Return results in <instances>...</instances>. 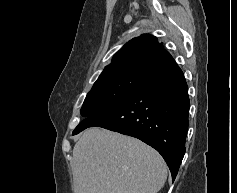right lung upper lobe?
<instances>
[{"label": "right lung upper lobe", "instance_id": "obj_1", "mask_svg": "<svg viewBox=\"0 0 237 193\" xmlns=\"http://www.w3.org/2000/svg\"><path fill=\"white\" fill-rule=\"evenodd\" d=\"M167 53L157 38L144 34L126 43L113 57L112 63L105 67L98 80L147 69L162 54Z\"/></svg>", "mask_w": 237, "mask_h": 193}]
</instances>
